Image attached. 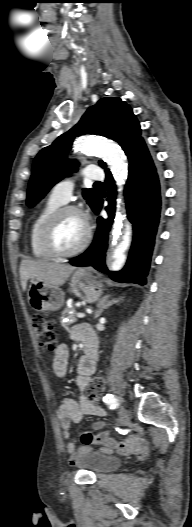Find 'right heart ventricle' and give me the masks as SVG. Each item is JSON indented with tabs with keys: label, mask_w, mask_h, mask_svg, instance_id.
<instances>
[{
	"label": "right heart ventricle",
	"mask_w": 192,
	"mask_h": 527,
	"mask_svg": "<svg viewBox=\"0 0 192 527\" xmlns=\"http://www.w3.org/2000/svg\"><path fill=\"white\" fill-rule=\"evenodd\" d=\"M62 203L52 199L51 197L43 204V206L35 214L29 229V246L31 253L38 259H50L52 258L43 248L41 243V231L49 216L59 207Z\"/></svg>",
	"instance_id": "1"
}]
</instances>
